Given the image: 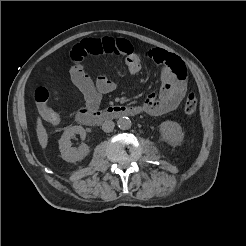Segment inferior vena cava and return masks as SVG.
<instances>
[{"instance_id": "602c4592", "label": "inferior vena cava", "mask_w": 246, "mask_h": 246, "mask_svg": "<svg viewBox=\"0 0 246 246\" xmlns=\"http://www.w3.org/2000/svg\"><path fill=\"white\" fill-rule=\"evenodd\" d=\"M115 123L111 120H107L102 124V130L106 133L113 131Z\"/></svg>"}]
</instances>
